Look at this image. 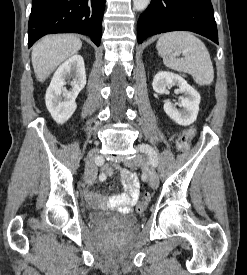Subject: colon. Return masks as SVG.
Instances as JSON below:
<instances>
[{
    "mask_svg": "<svg viewBox=\"0 0 247 275\" xmlns=\"http://www.w3.org/2000/svg\"><path fill=\"white\" fill-rule=\"evenodd\" d=\"M196 135V130L191 128L188 130H185L178 138L177 146L181 151H186L190 148L191 141ZM140 203L138 205V210H143L147 206L149 202V193L145 190L141 192L140 195Z\"/></svg>",
    "mask_w": 247,
    "mask_h": 275,
    "instance_id": "1",
    "label": "colon"
}]
</instances>
